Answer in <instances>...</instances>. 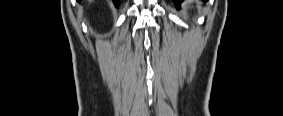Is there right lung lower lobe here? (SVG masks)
I'll return each mask as SVG.
<instances>
[{
    "label": "right lung lower lobe",
    "mask_w": 283,
    "mask_h": 116,
    "mask_svg": "<svg viewBox=\"0 0 283 116\" xmlns=\"http://www.w3.org/2000/svg\"><path fill=\"white\" fill-rule=\"evenodd\" d=\"M113 2H114V4H115L116 6L119 5V0H113Z\"/></svg>",
    "instance_id": "obj_1"
}]
</instances>
